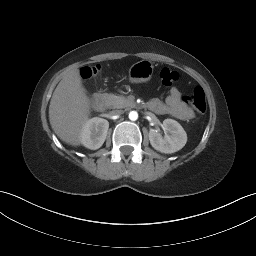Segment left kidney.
Wrapping results in <instances>:
<instances>
[{
  "instance_id": "left-kidney-1",
  "label": "left kidney",
  "mask_w": 256,
  "mask_h": 256,
  "mask_svg": "<svg viewBox=\"0 0 256 256\" xmlns=\"http://www.w3.org/2000/svg\"><path fill=\"white\" fill-rule=\"evenodd\" d=\"M163 128L167 134L164 137L158 130L149 131V140L152 147L161 153H174L182 149L187 142V134L183 127L173 119H165Z\"/></svg>"
}]
</instances>
